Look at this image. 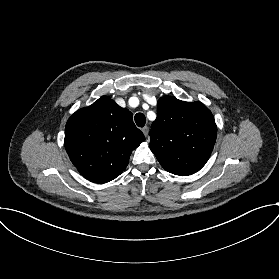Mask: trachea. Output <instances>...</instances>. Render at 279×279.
Listing matches in <instances>:
<instances>
[{"mask_svg": "<svg viewBox=\"0 0 279 279\" xmlns=\"http://www.w3.org/2000/svg\"><path fill=\"white\" fill-rule=\"evenodd\" d=\"M135 122L138 127H144V125L146 123V117L142 113H137L135 115Z\"/></svg>", "mask_w": 279, "mask_h": 279, "instance_id": "3493384b", "label": "trachea"}]
</instances>
